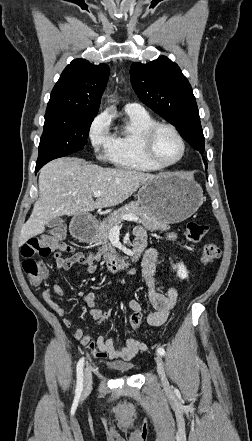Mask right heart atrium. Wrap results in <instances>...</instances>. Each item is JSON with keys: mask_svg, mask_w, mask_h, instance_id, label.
I'll return each instance as SVG.
<instances>
[{"mask_svg": "<svg viewBox=\"0 0 252 441\" xmlns=\"http://www.w3.org/2000/svg\"><path fill=\"white\" fill-rule=\"evenodd\" d=\"M90 145L100 160H112L114 136L110 131V118L106 112L98 114L88 129Z\"/></svg>", "mask_w": 252, "mask_h": 441, "instance_id": "obj_1", "label": "right heart atrium"}]
</instances>
